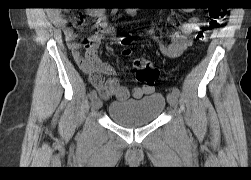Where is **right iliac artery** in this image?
Masks as SVG:
<instances>
[{
    "instance_id": "obj_1",
    "label": "right iliac artery",
    "mask_w": 251,
    "mask_h": 180,
    "mask_svg": "<svg viewBox=\"0 0 251 180\" xmlns=\"http://www.w3.org/2000/svg\"><path fill=\"white\" fill-rule=\"evenodd\" d=\"M89 97L90 99H94L95 97H97V92L95 90H92L90 93H89Z\"/></svg>"
}]
</instances>
